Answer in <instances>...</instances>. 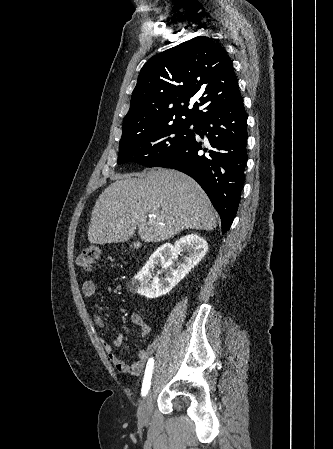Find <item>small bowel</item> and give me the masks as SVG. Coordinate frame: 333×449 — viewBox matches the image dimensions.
Masks as SVG:
<instances>
[{
  "instance_id": "c3829d8e",
  "label": "small bowel",
  "mask_w": 333,
  "mask_h": 449,
  "mask_svg": "<svg viewBox=\"0 0 333 449\" xmlns=\"http://www.w3.org/2000/svg\"><path fill=\"white\" fill-rule=\"evenodd\" d=\"M97 290V284L94 280H86L82 284V293L85 297H94ZM94 320L99 325H103V321L98 314H94ZM131 321L139 328L142 336H148L152 332L151 326L146 322L144 316L140 313L134 312L131 314ZM123 343V335L118 334L113 342L102 341L103 348L107 353L109 361L113 366L124 374L138 376L142 373L143 368L151 356L157 351L160 345L159 336L154 337L145 348L138 351L137 359L131 364L123 361L115 352L116 347H120Z\"/></svg>"
}]
</instances>
